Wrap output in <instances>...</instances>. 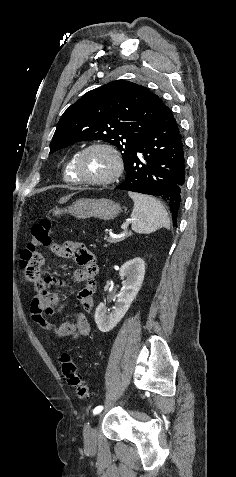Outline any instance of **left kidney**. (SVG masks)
Wrapping results in <instances>:
<instances>
[{
	"instance_id": "5707ae66",
	"label": "left kidney",
	"mask_w": 236,
	"mask_h": 477,
	"mask_svg": "<svg viewBox=\"0 0 236 477\" xmlns=\"http://www.w3.org/2000/svg\"><path fill=\"white\" fill-rule=\"evenodd\" d=\"M145 275V262L137 257L124 263L120 268L123 279V291L119 295L114 310L107 315V308L100 303L95 311V322L101 332H109L124 317L130 305L138 294Z\"/></svg>"
}]
</instances>
